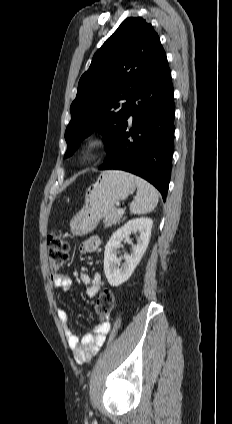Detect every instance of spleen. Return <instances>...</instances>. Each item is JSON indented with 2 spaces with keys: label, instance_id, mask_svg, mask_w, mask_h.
I'll use <instances>...</instances> for the list:
<instances>
[{
  "label": "spleen",
  "instance_id": "spleen-1",
  "mask_svg": "<svg viewBox=\"0 0 232 424\" xmlns=\"http://www.w3.org/2000/svg\"><path fill=\"white\" fill-rule=\"evenodd\" d=\"M134 179L137 185V194L130 204V212L141 215L153 211L159 200L157 190L138 176H135Z\"/></svg>",
  "mask_w": 232,
  "mask_h": 424
}]
</instances>
